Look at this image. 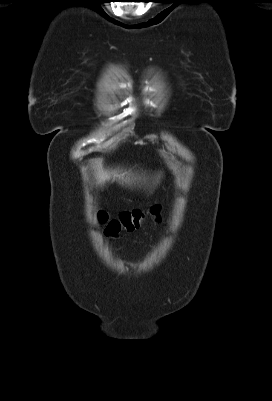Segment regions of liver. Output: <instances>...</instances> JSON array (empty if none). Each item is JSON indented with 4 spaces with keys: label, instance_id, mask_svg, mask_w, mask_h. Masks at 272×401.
<instances>
[{
    "label": "liver",
    "instance_id": "1",
    "mask_svg": "<svg viewBox=\"0 0 272 401\" xmlns=\"http://www.w3.org/2000/svg\"><path fill=\"white\" fill-rule=\"evenodd\" d=\"M112 177L114 180L118 179L119 181H123L126 183L130 182L129 177L125 178V173H119L116 170L109 171V170H103L102 168L98 169L97 179L100 184H104L106 181H109Z\"/></svg>",
    "mask_w": 272,
    "mask_h": 401
}]
</instances>
